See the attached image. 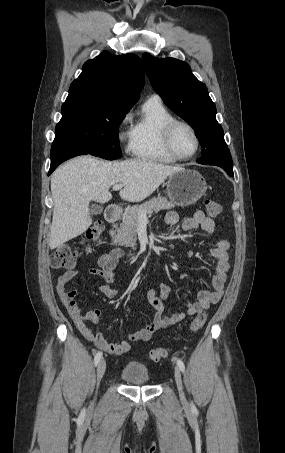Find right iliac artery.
<instances>
[{
    "instance_id": "obj_1",
    "label": "right iliac artery",
    "mask_w": 285,
    "mask_h": 453,
    "mask_svg": "<svg viewBox=\"0 0 285 453\" xmlns=\"http://www.w3.org/2000/svg\"><path fill=\"white\" fill-rule=\"evenodd\" d=\"M102 357V352H98L94 358V364L97 366L98 363L100 362V359Z\"/></svg>"
}]
</instances>
